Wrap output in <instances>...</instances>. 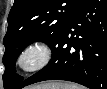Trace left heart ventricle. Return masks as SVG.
Here are the masks:
<instances>
[{
    "label": "left heart ventricle",
    "instance_id": "1",
    "mask_svg": "<svg viewBox=\"0 0 107 89\" xmlns=\"http://www.w3.org/2000/svg\"><path fill=\"white\" fill-rule=\"evenodd\" d=\"M36 59V56L35 55H30L28 58H27V63L28 64H32Z\"/></svg>",
    "mask_w": 107,
    "mask_h": 89
}]
</instances>
